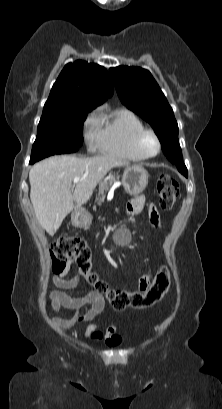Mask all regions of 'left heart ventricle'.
<instances>
[{"label": "left heart ventricle", "instance_id": "1", "mask_svg": "<svg viewBox=\"0 0 222 409\" xmlns=\"http://www.w3.org/2000/svg\"><path fill=\"white\" fill-rule=\"evenodd\" d=\"M144 149L147 153L152 154L156 151V142L152 136H146L143 142Z\"/></svg>", "mask_w": 222, "mask_h": 409}]
</instances>
